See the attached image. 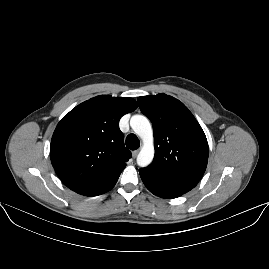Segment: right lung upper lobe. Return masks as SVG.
I'll return each mask as SVG.
<instances>
[{
    "mask_svg": "<svg viewBox=\"0 0 269 269\" xmlns=\"http://www.w3.org/2000/svg\"><path fill=\"white\" fill-rule=\"evenodd\" d=\"M136 108L133 98L101 95L62 118L52 136L50 157L58 177L69 189L78 192L118 179L131 158L119 120Z\"/></svg>",
    "mask_w": 269,
    "mask_h": 269,
    "instance_id": "1",
    "label": "right lung upper lobe"
}]
</instances>
